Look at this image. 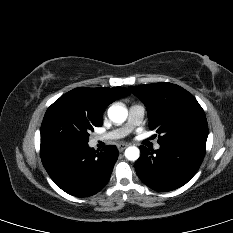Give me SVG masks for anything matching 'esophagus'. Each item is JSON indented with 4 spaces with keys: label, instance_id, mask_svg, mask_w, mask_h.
Returning <instances> with one entry per match:
<instances>
[{
    "label": "esophagus",
    "instance_id": "1",
    "mask_svg": "<svg viewBox=\"0 0 233 233\" xmlns=\"http://www.w3.org/2000/svg\"><path fill=\"white\" fill-rule=\"evenodd\" d=\"M128 147V144H124V143H122V144H119L118 145V150L120 151V152H122L125 148H127Z\"/></svg>",
    "mask_w": 233,
    "mask_h": 233
}]
</instances>
